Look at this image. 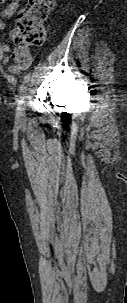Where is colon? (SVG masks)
I'll return each mask as SVG.
<instances>
[{"label": "colon", "instance_id": "5ec220e1", "mask_svg": "<svg viewBox=\"0 0 127 303\" xmlns=\"http://www.w3.org/2000/svg\"><path fill=\"white\" fill-rule=\"evenodd\" d=\"M55 0H29L18 15L13 33L14 42L20 47L41 46L46 39L45 21L54 7Z\"/></svg>", "mask_w": 127, "mask_h": 303}]
</instances>
